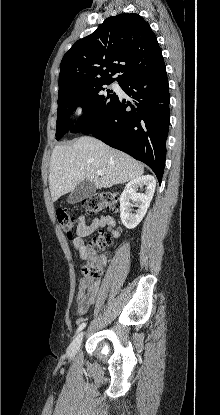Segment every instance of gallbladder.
<instances>
[{
    "label": "gallbladder",
    "instance_id": "bac80fb5",
    "mask_svg": "<svg viewBox=\"0 0 220 415\" xmlns=\"http://www.w3.org/2000/svg\"><path fill=\"white\" fill-rule=\"evenodd\" d=\"M96 191L94 183L88 179L79 183L75 189L70 193L67 202L70 204L81 202L82 200L91 197Z\"/></svg>",
    "mask_w": 220,
    "mask_h": 415
}]
</instances>
